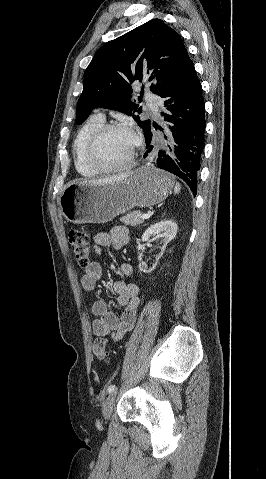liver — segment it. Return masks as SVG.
<instances>
[{"instance_id": "6515ba94", "label": "liver", "mask_w": 266, "mask_h": 479, "mask_svg": "<svg viewBox=\"0 0 266 479\" xmlns=\"http://www.w3.org/2000/svg\"><path fill=\"white\" fill-rule=\"evenodd\" d=\"M131 175L130 172L128 173H123L120 175L112 176V177H107L103 179H94V180H85L82 182H79L80 184H106V183H113L117 181H122L126 178H128Z\"/></svg>"}]
</instances>
